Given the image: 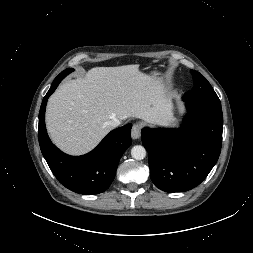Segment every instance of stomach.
<instances>
[{"mask_svg":"<svg viewBox=\"0 0 253 253\" xmlns=\"http://www.w3.org/2000/svg\"><path fill=\"white\" fill-rule=\"evenodd\" d=\"M151 75H154V76H156V77H158L159 79H161L160 78V73H158V72H151L150 73ZM173 119V112L171 113V117H170V120L169 121H171Z\"/></svg>","mask_w":253,"mask_h":253,"instance_id":"stomach-1","label":"stomach"}]
</instances>
